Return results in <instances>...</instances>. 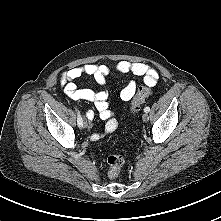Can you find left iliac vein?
Instances as JSON below:
<instances>
[{"label": "left iliac vein", "instance_id": "4c4485c4", "mask_svg": "<svg viewBox=\"0 0 221 221\" xmlns=\"http://www.w3.org/2000/svg\"><path fill=\"white\" fill-rule=\"evenodd\" d=\"M142 119H143L144 122H147V121L149 120V115H148V113H144V114L142 115Z\"/></svg>", "mask_w": 221, "mask_h": 221}]
</instances>
